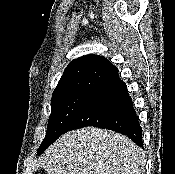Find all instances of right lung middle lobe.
<instances>
[{"mask_svg": "<svg viewBox=\"0 0 175 174\" xmlns=\"http://www.w3.org/2000/svg\"><path fill=\"white\" fill-rule=\"evenodd\" d=\"M90 92H72L52 97L46 136L40 146L51 145L65 130Z\"/></svg>", "mask_w": 175, "mask_h": 174, "instance_id": "right-lung-middle-lobe-1", "label": "right lung middle lobe"}]
</instances>
